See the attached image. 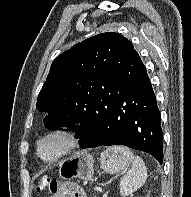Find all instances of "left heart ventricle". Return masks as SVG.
<instances>
[{
	"mask_svg": "<svg viewBox=\"0 0 191 197\" xmlns=\"http://www.w3.org/2000/svg\"><path fill=\"white\" fill-rule=\"evenodd\" d=\"M62 147L61 140L57 138L49 139L42 144V154L46 158H51L58 154Z\"/></svg>",
	"mask_w": 191,
	"mask_h": 197,
	"instance_id": "left-heart-ventricle-1",
	"label": "left heart ventricle"
}]
</instances>
